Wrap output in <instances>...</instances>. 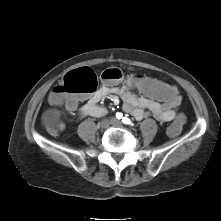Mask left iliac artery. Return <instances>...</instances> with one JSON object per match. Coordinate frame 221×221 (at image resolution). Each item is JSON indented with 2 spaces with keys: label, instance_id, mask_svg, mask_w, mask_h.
I'll return each instance as SVG.
<instances>
[{
  "label": "left iliac artery",
  "instance_id": "1",
  "mask_svg": "<svg viewBox=\"0 0 221 221\" xmlns=\"http://www.w3.org/2000/svg\"><path fill=\"white\" fill-rule=\"evenodd\" d=\"M122 122H123L124 124H126V125H133V123L131 122V120L128 119L127 117H124V118L122 119Z\"/></svg>",
  "mask_w": 221,
  "mask_h": 221
}]
</instances>
